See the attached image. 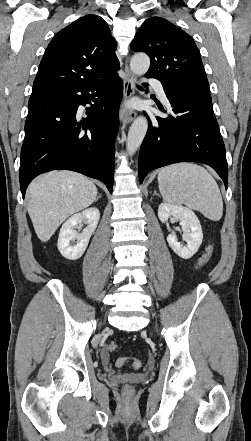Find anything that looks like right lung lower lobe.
I'll use <instances>...</instances> for the list:
<instances>
[{"label": "right lung lower lobe", "instance_id": "98d812e1", "mask_svg": "<svg viewBox=\"0 0 251 441\" xmlns=\"http://www.w3.org/2000/svg\"><path fill=\"white\" fill-rule=\"evenodd\" d=\"M122 94L123 82L116 72L95 83L31 94L20 156L23 197L37 175L54 169L99 179L112 193ZM85 104H91L88 116L79 121L78 106Z\"/></svg>", "mask_w": 251, "mask_h": 441}]
</instances>
